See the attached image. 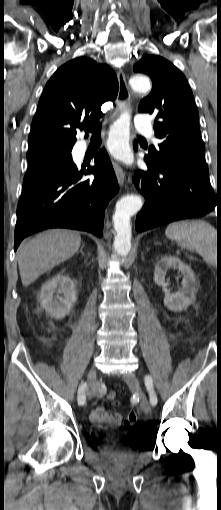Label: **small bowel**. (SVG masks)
Masks as SVG:
<instances>
[{
    "instance_id": "small-bowel-1",
    "label": "small bowel",
    "mask_w": 221,
    "mask_h": 510,
    "mask_svg": "<svg viewBox=\"0 0 221 510\" xmlns=\"http://www.w3.org/2000/svg\"><path fill=\"white\" fill-rule=\"evenodd\" d=\"M91 423L101 428H113L121 424L123 415L119 412H109L103 406H95L89 414Z\"/></svg>"
}]
</instances>
